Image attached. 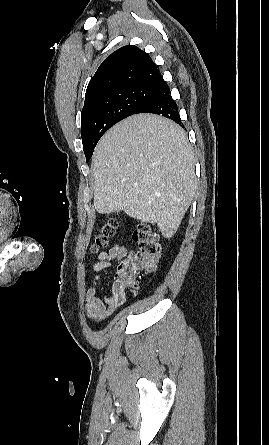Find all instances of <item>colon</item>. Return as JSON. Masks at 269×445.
I'll use <instances>...</instances> for the list:
<instances>
[{"label":"colon","instance_id":"obj_1","mask_svg":"<svg viewBox=\"0 0 269 445\" xmlns=\"http://www.w3.org/2000/svg\"><path fill=\"white\" fill-rule=\"evenodd\" d=\"M117 225V220L111 218L102 226L91 247L93 252H97L107 245L108 240L114 235ZM133 237L138 249L124 260L117 269L114 288L118 291H125L127 288L134 287L138 271L154 269L160 259L161 245L158 234L153 227L142 224L135 230Z\"/></svg>","mask_w":269,"mask_h":445}]
</instances>
